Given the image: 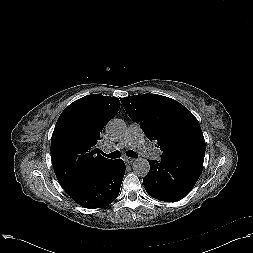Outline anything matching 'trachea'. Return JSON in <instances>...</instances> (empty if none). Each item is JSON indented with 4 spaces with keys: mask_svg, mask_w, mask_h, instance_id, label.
<instances>
[{
    "mask_svg": "<svg viewBox=\"0 0 253 253\" xmlns=\"http://www.w3.org/2000/svg\"><path fill=\"white\" fill-rule=\"evenodd\" d=\"M126 154H127L128 157H132V158H136L137 157L136 152H134L132 150L127 151ZM102 155L105 156V157H107V158H111V159H117V158L121 157V153L119 151H114V152L109 153V154H106V153L102 152Z\"/></svg>",
    "mask_w": 253,
    "mask_h": 253,
    "instance_id": "obj_1",
    "label": "trachea"
}]
</instances>
